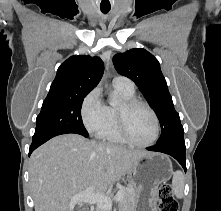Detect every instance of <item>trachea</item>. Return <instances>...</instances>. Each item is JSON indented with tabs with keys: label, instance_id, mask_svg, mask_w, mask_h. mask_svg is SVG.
Segmentation results:
<instances>
[{
	"label": "trachea",
	"instance_id": "1",
	"mask_svg": "<svg viewBox=\"0 0 221 211\" xmlns=\"http://www.w3.org/2000/svg\"><path fill=\"white\" fill-rule=\"evenodd\" d=\"M110 11V8H101V12L107 14Z\"/></svg>",
	"mask_w": 221,
	"mask_h": 211
}]
</instances>
